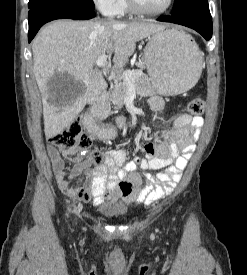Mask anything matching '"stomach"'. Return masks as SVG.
Returning a JSON list of instances; mask_svg holds the SVG:
<instances>
[{
  "mask_svg": "<svg viewBox=\"0 0 247 275\" xmlns=\"http://www.w3.org/2000/svg\"><path fill=\"white\" fill-rule=\"evenodd\" d=\"M144 62L154 91L174 96L191 89L202 71V55L183 31L164 28L149 37ZM99 135L105 136L103 131ZM110 137V134H107Z\"/></svg>",
  "mask_w": 247,
  "mask_h": 275,
  "instance_id": "1",
  "label": "stomach"
}]
</instances>
